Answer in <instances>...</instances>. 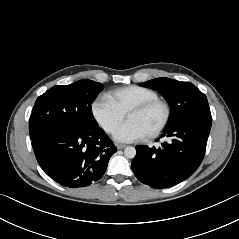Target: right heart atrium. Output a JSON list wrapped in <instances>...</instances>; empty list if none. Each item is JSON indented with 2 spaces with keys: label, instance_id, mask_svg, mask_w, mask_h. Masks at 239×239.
Listing matches in <instances>:
<instances>
[{
  "label": "right heart atrium",
  "instance_id": "d8ad5b80",
  "mask_svg": "<svg viewBox=\"0 0 239 239\" xmlns=\"http://www.w3.org/2000/svg\"><path fill=\"white\" fill-rule=\"evenodd\" d=\"M91 112L97 124L107 133L114 132L125 116L106 96H99L93 101Z\"/></svg>",
  "mask_w": 239,
  "mask_h": 239
}]
</instances>
